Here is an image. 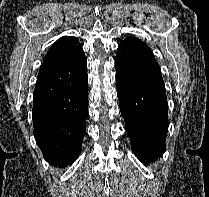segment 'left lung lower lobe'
I'll return each instance as SVG.
<instances>
[{
  "label": "left lung lower lobe",
  "mask_w": 209,
  "mask_h": 197,
  "mask_svg": "<svg viewBox=\"0 0 209 197\" xmlns=\"http://www.w3.org/2000/svg\"><path fill=\"white\" fill-rule=\"evenodd\" d=\"M115 67L120 110L132 151L146 165L165 151L168 117L161 70L151 49L137 39L120 43Z\"/></svg>",
  "instance_id": "1"
}]
</instances>
